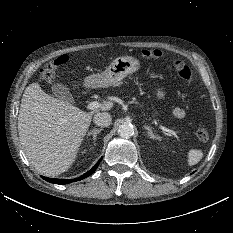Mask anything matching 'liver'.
Instances as JSON below:
<instances>
[{
    "instance_id": "obj_1",
    "label": "liver",
    "mask_w": 233,
    "mask_h": 233,
    "mask_svg": "<svg viewBox=\"0 0 233 233\" xmlns=\"http://www.w3.org/2000/svg\"><path fill=\"white\" fill-rule=\"evenodd\" d=\"M112 106L105 101L101 109ZM94 113L48 95L38 83L25 89L18 132L27 158L39 173L56 176L70 168Z\"/></svg>"
}]
</instances>
